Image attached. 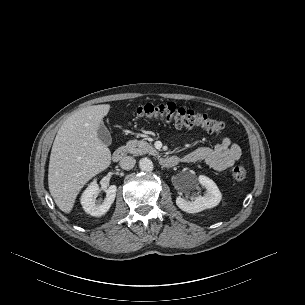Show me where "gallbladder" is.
Segmentation results:
<instances>
[{
    "label": "gallbladder",
    "instance_id": "1",
    "mask_svg": "<svg viewBox=\"0 0 305 305\" xmlns=\"http://www.w3.org/2000/svg\"><path fill=\"white\" fill-rule=\"evenodd\" d=\"M97 133H98V138L101 140L103 144L111 145L112 137L110 135V132L103 123H101Z\"/></svg>",
    "mask_w": 305,
    "mask_h": 305
}]
</instances>
